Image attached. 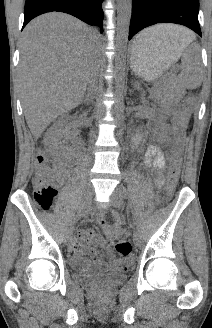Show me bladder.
<instances>
[{
  "mask_svg": "<svg viewBox=\"0 0 212 328\" xmlns=\"http://www.w3.org/2000/svg\"><path fill=\"white\" fill-rule=\"evenodd\" d=\"M72 277L82 286L115 285L126 279V274L120 272L98 275L91 272L83 259H77L73 264Z\"/></svg>",
  "mask_w": 212,
  "mask_h": 328,
  "instance_id": "obj_1",
  "label": "bladder"
}]
</instances>
